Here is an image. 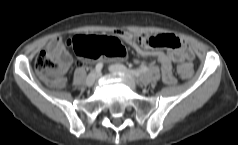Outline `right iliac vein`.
Wrapping results in <instances>:
<instances>
[{"instance_id": "1", "label": "right iliac vein", "mask_w": 238, "mask_h": 145, "mask_svg": "<svg viewBox=\"0 0 238 145\" xmlns=\"http://www.w3.org/2000/svg\"><path fill=\"white\" fill-rule=\"evenodd\" d=\"M98 78V74L96 72H92L88 75L86 79L87 86H92Z\"/></svg>"}]
</instances>
